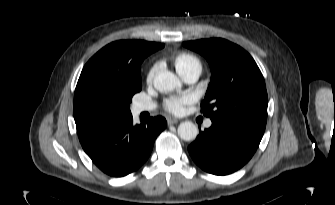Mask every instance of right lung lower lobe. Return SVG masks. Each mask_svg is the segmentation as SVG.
Returning <instances> with one entry per match:
<instances>
[{"label":"right lung lower lobe","mask_w":335,"mask_h":205,"mask_svg":"<svg viewBox=\"0 0 335 205\" xmlns=\"http://www.w3.org/2000/svg\"><path fill=\"white\" fill-rule=\"evenodd\" d=\"M166 126L162 116L134 125L130 114L79 135V140L86 154L103 172L122 177L137 170L148 159L156 137Z\"/></svg>","instance_id":"1"}]
</instances>
